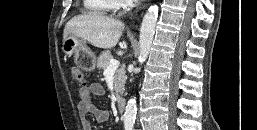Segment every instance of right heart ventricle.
Returning a JSON list of instances; mask_svg holds the SVG:
<instances>
[{"mask_svg":"<svg viewBox=\"0 0 257 130\" xmlns=\"http://www.w3.org/2000/svg\"><path fill=\"white\" fill-rule=\"evenodd\" d=\"M86 11L97 14L107 15L119 7L118 0H83Z\"/></svg>","mask_w":257,"mask_h":130,"instance_id":"right-heart-ventricle-1","label":"right heart ventricle"}]
</instances>
